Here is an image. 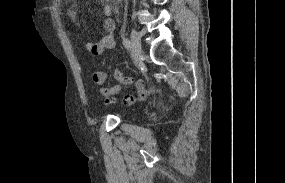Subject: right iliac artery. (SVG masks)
Here are the masks:
<instances>
[{"label":"right iliac artery","mask_w":285,"mask_h":183,"mask_svg":"<svg viewBox=\"0 0 285 183\" xmlns=\"http://www.w3.org/2000/svg\"><path fill=\"white\" fill-rule=\"evenodd\" d=\"M123 45L128 50H130L132 48V43L128 38L123 39Z\"/></svg>","instance_id":"right-iliac-artery-1"}]
</instances>
